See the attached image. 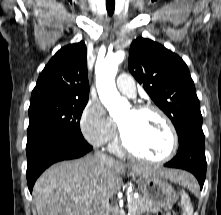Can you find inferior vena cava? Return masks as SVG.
I'll return each mask as SVG.
<instances>
[{"label": "inferior vena cava", "mask_w": 221, "mask_h": 215, "mask_svg": "<svg viewBox=\"0 0 221 215\" xmlns=\"http://www.w3.org/2000/svg\"><path fill=\"white\" fill-rule=\"evenodd\" d=\"M94 157L100 161H108L112 160V158H109L105 154H103L100 151H95ZM108 202L105 200H98L91 209L92 215H108Z\"/></svg>", "instance_id": "602c4592"}]
</instances>
